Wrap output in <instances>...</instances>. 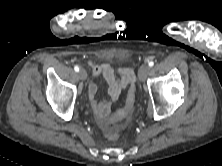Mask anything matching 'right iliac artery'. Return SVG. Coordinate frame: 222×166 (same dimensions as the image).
Here are the masks:
<instances>
[{
	"instance_id": "obj_1",
	"label": "right iliac artery",
	"mask_w": 222,
	"mask_h": 166,
	"mask_svg": "<svg viewBox=\"0 0 222 166\" xmlns=\"http://www.w3.org/2000/svg\"><path fill=\"white\" fill-rule=\"evenodd\" d=\"M74 70H75L76 72H79V67H78V66H75V67H74Z\"/></svg>"
}]
</instances>
